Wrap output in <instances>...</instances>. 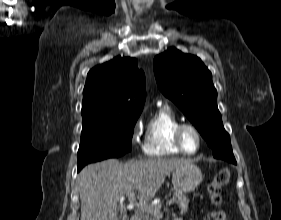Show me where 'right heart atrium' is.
<instances>
[{
  "instance_id": "1",
  "label": "right heart atrium",
  "mask_w": 281,
  "mask_h": 220,
  "mask_svg": "<svg viewBox=\"0 0 281 220\" xmlns=\"http://www.w3.org/2000/svg\"><path fill=\"white\" fill-rule=\"evenodd\" d=\"M133 140H134V141H136V140H137L136 136H134V137H133Z\"/></svg>"
}]
</instances>
